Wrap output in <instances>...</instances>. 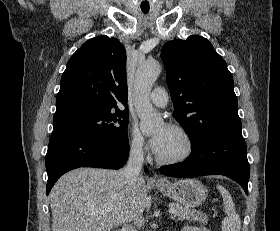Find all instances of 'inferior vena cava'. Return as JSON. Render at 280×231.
Returning a JSON list of instances; mask_svg holds the SVG:
<instances>
[{"label": "inferior vena cava", "mask_w": 280, "mask_h": 231, "mask_svg": "<svg viewBox=\"0 0 280 231\" xmlns=\"http://www.w3.org/2000/svg\"><path fill=\"white\" fill-rule=\"evenodd\" d=\"M143 159L142 143H140V141H133L127 165L124 169H122V173L125 175L127 181H131L132 177H137L138 179ZM122 231H135V229H132L131 225H129L128 221H126Z\"/></svg>", "instance_id": "602c4592"}]
</instances>
